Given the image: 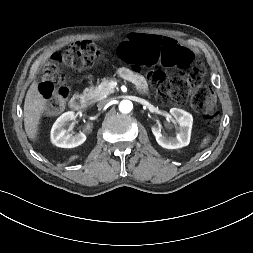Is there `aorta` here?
<instances>
[{"label":"aorta","instance_id":"1","mask_svg":"<svg viewBox=\"0 0 253 253\" xmlns=\"http://www.w3.org/2000/svg\"><path fill=\"white\" fill-rule=\"evenodd\" d=\"M133 108V104L129 100H122L119 104V110L122 113H129Z\"/></svg>","mask_w":253,"mask_h":253}]
</instances>
